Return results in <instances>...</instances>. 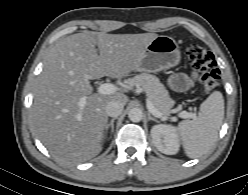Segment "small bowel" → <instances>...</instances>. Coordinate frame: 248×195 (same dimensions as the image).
<instances>
[{"label":"small bowel","instance_id":"obj_1","mask_svg":"<svg viewBox=\"0 0 248 195\" xmlns=\"http://www.w3.org/2000/svg\"><path fill=\"white\" fill-rule=\"evenodd\" d=\"M196 78V73L192 75L178 73L171 77V84L176 90H186L192 85Z\"/></svg>","mask_w":248,"mask_h":195}]
</instances>
